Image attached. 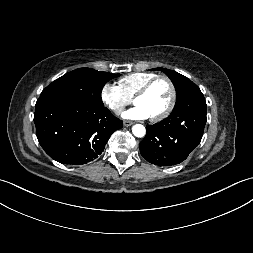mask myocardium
Returning a JSON list of instances; mask_svg holds the SVG:
<instances>
[{
  "mask_svg": "<svg viewBox=\"0 0 253 253\" xmlns=\"http://www.w3.org/2000/svg\"><path fill=\"white\" fill-rule=\"evenodd\" d=\"M159 80H165L167 82V84L169 85L170 88V101L168 106L166 107V109L161 112L160 114H158L157 116L154 117H150V120L152 122H159L164 120L165 118H167L171 112L173 111L175 104H176V99H177V92H176V88L175 85L173 83V81L166 75H157L154 78H152L151 80H149L147 83H145L138 91L137 93L134 95L133 97V102L135 103V100L139 97L144 96L149 90L150 88Z\"/></svg>",
  "mask_w": 253,
  "mask_h": 253,
  "instance_id": "obj_1",
  "label": "myocardium"
}]
</instances>
